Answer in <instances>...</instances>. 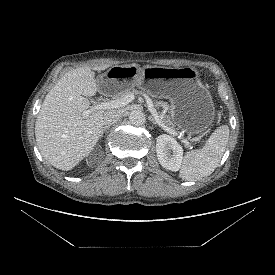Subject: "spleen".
Segmentation results:
<instances>
[{
  "label": "spleen",
  "instance_id": "obj_1",
  "mask_svg": "<svg viewBox=\"0 0 275 275\" xmlns=\"http://www.w3.org/2000/svg\"><path fill=\"white\" fill-rule=\"evenodd\" d=\"M229 139V127H218L209 137L202 149L185 154L179 176L185 181H197L211 175L226 150Z\"/></svg>",
  "mask_w": 275,
  "mask_h": 275
}]
</instances>
